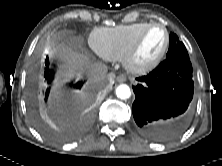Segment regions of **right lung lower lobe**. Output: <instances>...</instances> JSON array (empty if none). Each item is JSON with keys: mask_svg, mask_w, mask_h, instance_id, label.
<instances>
[{"mask_svg": "<svg viewBox=\"0 0 222 166\" xmlns=\"http://www.w3.org/2000/svg\"><path fill=\"white\" fill-rule=\"evenodd\" d=\"M45 66H46V68H45V72H44V78L46 80H49L48 83L51 84L52 76H51V70L49 68V59L48 58L45 60ZM82 85H83V82H77L75 84L71 83V86L76 89H80L82 87ZM49 91H50V87L47 89V94L45 95V101L48 98Z\"/></svg>", "mask_w": 222, "mask_h": 166, "instance_id": "1", "label": "right lung lower lobe"}]
</instances>
